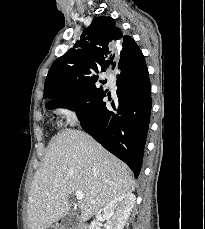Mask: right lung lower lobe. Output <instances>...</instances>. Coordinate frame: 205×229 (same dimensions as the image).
Instances as JSON below:
<instances>
[{
    "label": "right lung lower lobe",
    "mask_w": 205,
    "mask_h": 229,
    "mask_svg": "<svg viewBox=\"0 0 205 229\" xmlns=\"http://www.w3.org/2000/svg\"><path fill=\"white\" fill-rule=\"evenodd\" d=\"M116 85L118 88L113 100L100 87L69 102L56 98L47 105L49 109L73 107L82 128L105 149L124 161L137 178L151 111V86L144 57L135 68L120 69ZM107 95L111 103L106 105L103 99Z\"/></svg>",
    "instance_id": "obj_1"
}]
</instances>
